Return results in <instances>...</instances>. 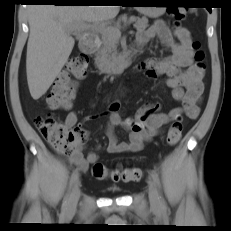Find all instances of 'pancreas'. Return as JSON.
I'll return each mask as SVG.
<instances>
[{"mask_svg": "<svg viewBox=\"0 0 231 231\" xmlns=\"http://www.w3.org/2000/svg\"><path fill=\"white\" fill-rule=\"evenodd\" d=\"M134 27L137 30L144 31L148 27V19L135 18ZM112 27L119 29V23L112 25ZM102 47L96 53L95 64L101 71H109L113 69L117 62V42L119 38L112 35L101 33Z\"/></svg>", "mask_w": 231, "mask_h": 231, "instance_id": "1", "label": "pancreas"}]
</instances>
